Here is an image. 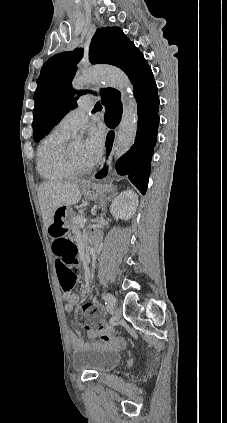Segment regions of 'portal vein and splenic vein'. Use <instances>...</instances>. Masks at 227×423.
Masks as SVG:
<instances>
[{
    "label": "portal vein and splenic vein",
    "instance_id": "portal-vein-and-splenic-vein-1",
    "mask_svg": "<svg viewBox=\"0 0 227 423\" xmlns=\"http://www.w3.org/2000/svg\"><path fill=\"white\" fill-rule=\"evenodd\" d=\"M76 221H78V223H85L88 219H86V217H76ZM92 221H94V219H92Z\"/></svg>",
    "mask_w": 227,
    "mask_h": 423
}]
</instances>
